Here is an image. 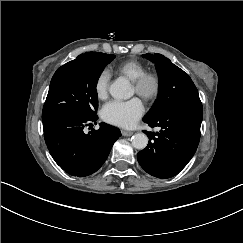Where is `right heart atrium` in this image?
Returning <instances> with one entry per match:
<instances>
[{
	"label": "right heart atrium",
	"mask_w": 243,
	"mask_h": 243,
	"mask_svg": "<svg viewBox=\"0 0 243 243\" xmlns=\"http://www.w3.org/2000/svg\"><path fill=\"white\" fill-rule=\"evenodd\" d=\"M110 79L111 72L108 68L102 69L95 77L93 87L97 99L104 100L107 98L109 93Z\"/></svg>",
	"instance_id": "obj_1"
}]
</instances>
